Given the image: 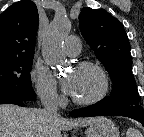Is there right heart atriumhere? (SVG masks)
<instances>
[{"mask_svg": "<svg viewBox=\"0 0 144 137\" xmlns=\"http://www.w3.org/2000/svg\"><path fill=\"white\" fill-rule=\"evenodd\" d=\"M30 77L36 94L43 104L56 106L62 102L57 81L45 66L35 63L31 69Z\"/></svg>", "mask_w": 144, "mask_h": 137, "instance_id": "1", "label": "right heart atrium"}]
</instances>
